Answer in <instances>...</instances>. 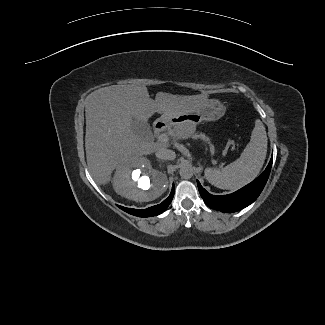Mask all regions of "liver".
Here are the masks:
<instances>
[{"label":"liver","mask_w":325,"mask_h":325,"mask_svg":"<svg viewBox=\"0 0 325 325\" xmlns=\"http://www.w3.org/2000/svg\"><path fill=\"white\" fill-rule=\"evenodd\" d=\"M209 100L207 94L173 95L158 92L151 99L145 85H115L100 88L87 97L85 150L88 169L99 184L111 180L114 169L136 163L167 143L150 142L136 135L132 119L147 122L154 113L177 116ZM196 125H176L177 139H187Z\"/></svg>","instance_id":"1"}]
</instances>
